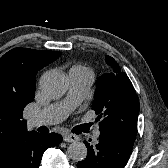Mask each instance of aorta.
<instances>
[{"label":"aorta","instance_id":"obj_1","mask_svg":"<svg viewBox=\"0 0 168 168\" xmlns=\"http://www.w3.org/2000/svg\"><path fill=\"white\" fill-rule=\"evenodd\" d=\"M68 88L67 76L59 71H49L40 79V89L49 98H59ZM68 156L74 161H82L87 156V147L83 142L74 141L67 149Z\"/></svg>","mask_w":168,"mask_h":168}]
</instances>
